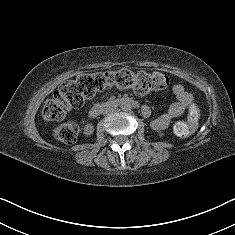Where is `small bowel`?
Wrapping results in <instances>:
<instances>
[{
  "instance_id": "small-bowel-1",
  "label": "small bowel",
  "mask_w": 235,
  "mask_h": 235,
  "mask_svg": "<svg viewBox=\"0 0 235 235\" xmlns=\"http://www.w3.org/2000/svg\"><path fill=\"white\" fill-rule=\"evenodd\" d=\"M172 90L176 96V101L170 105L165 113L151 122V127L154 130H162L166 128L174 118L180 116L192 103V95L182 85L175 84L173 85ZM141 111L145 117H149L151 115V109L148 105L142 106Z\"/></svg>"
}]
</instances>
